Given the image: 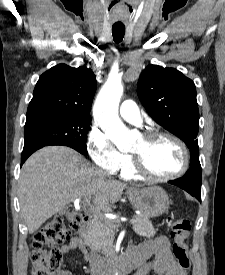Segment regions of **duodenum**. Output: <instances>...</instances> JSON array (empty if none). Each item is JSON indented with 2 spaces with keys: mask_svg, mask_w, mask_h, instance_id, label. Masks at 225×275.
I'll return each mask as SVG.
<instances>
[{
  "mask_svg": "<svg viewBox=\"0 0 225 275\" xmlns=\"http://www.w3.org/2000/svg\"><path fill=\"white\" fill-rule=\"evenodd\" d=\"M86 217L82 223V231L87 233L90 230V219L88 218L86 209H80ZM90 269L94 275H111L112 271L118 269L120 273H127L139 266V262L135 260L132 254L126 253L125 257L118 260L115 257H99L96 255L89 256Z\"/></svg>",
  "mask_w": 225,
  "mask_h": 275,
  "instance_id": "410a0bca",
  "label": "duodenum"
}]
</instances>
